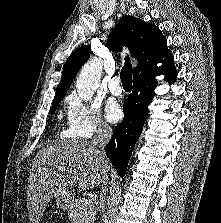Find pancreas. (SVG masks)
<instances>
[{"label": "pancreas", "mask_w": 221, "mask_h": 223, "mask_svg": "<svg viewBox=\"0 0 221 223\" xmlns=\"http://www.w3.org/2000/svg\"><path fill=\"white\" fill-rule=\"evenodd\" d=\"M84 198L72 202L68 215L72 223H92L95 219L93 202L86 204Z\"/></svg>", "instance_id": "pancreas-1"}]
</instances>
